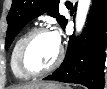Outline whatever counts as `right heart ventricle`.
<instances>
[{"mask_svg": "<svg viewBox=\"0 0 107 89\" xmlns=\"http://www.w3.org/2000/svg\"><path fill=\"white\" fill-rule=\"evenodd\" d=\"M29 32L30 30H27L17 38V40L15 41L12 47L11 57H10V64H11V69L13 74L15 75V77L22 80H26L30 77L24 74L18 66V52L22 42L24 41L26 36L29 34Z\"/></svg>", "mask_w": 107, "mask_h": 89, "instance_id": "e07e8e85", "label": "right heart ventricle"}]
</instances>
